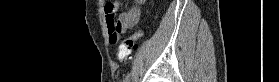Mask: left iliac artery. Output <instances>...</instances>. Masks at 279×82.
Segmentation results:
<instances>
[{"mask_svg":"<svg viewBox=\"0 0 279 82\" xmlns=\"http://www.w3.org/2000/svg\"><path fill=\"white\" fill-rule=\"evenodd\" d=\"M130 78H131V74L128 73V74L126 75V77L124 78L123 82H130Z\"/></svg>","mask_w":279,"mask_h":82,"instance_id":"44dca946","label":"left iliac artery"}]
</instances>
